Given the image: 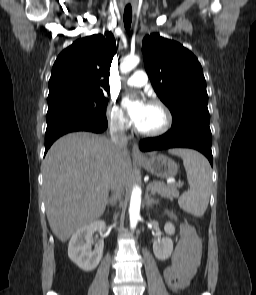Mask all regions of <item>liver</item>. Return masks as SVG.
Here are the masks:
<instances>
[{
	"mask_svg": "<svg viewBox=\"0 0 256 295\" xmlns=\"http://www.w3.org/2000/svg\"><path fill=\"white\" fill-rule=\"evenodd\" d=\"M129 183L126 149L116 156L113 143L89 132L59 138L42 165L46 215L54 235L66 242L79 228L105 211L113 174Z\"/></svg>",
	"mask_w": 256,
	"mask_h": 295,
	"instance_id": "6515ba94",
	"label": "liver"
}]
</instances>
